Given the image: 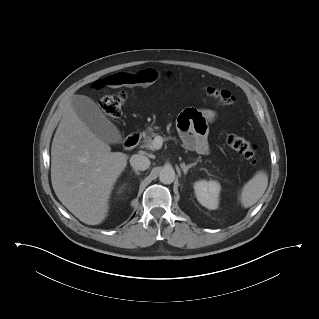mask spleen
<instances>
[{
  "label": "spleen",
  "mask_w": 319,
  "mask_h": 319,
  "mask_svg": "<svg viewBox=\"0 0 319 319\" xmlns=\"http://www.w3.org/2000/svg\"><path fill=\"white\" fill-rule=\"evenodd\" d=\"M268 186V176L264 171H258L242 188L240 201L245 208L253 206L265 193Z\"/></svg>",
  "instance_id": "obj_1"
}]
</instances>
